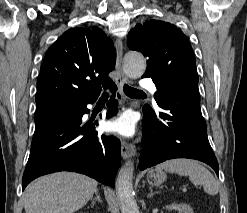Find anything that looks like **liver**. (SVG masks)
<instances>
[{
  "label": "liver",
  "instance_id": "6515ba94",
  "mask_svg": "<svg viewBox=\"0 0 247 213\" xmlns=\"http://www.w3.org/2000/svg\"><path fill=\"white\" fill-rule=\"evenodd\" d=\"M97 181L77 173L57 172L32 182L24 193L26 213H73L97 190Z\"/></svg>",
  "mask_w": 247,
  "mask_h": 213
}]
</instances>
